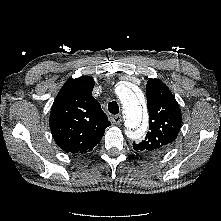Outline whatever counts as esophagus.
<instances>
[{
    "label": "esophagus",
    "instance_id": "34e87169",
    "mask_svg": "<svg viewBox=\"0 0 221 221\" xmlns=\"http://www.w3.org/2000/svg\"><path fill=\"white\" fill-rule=\"evenodd\" d=\"M111 119L114 124H119L122 121V116L121 115H114Z\"/></svg>",
    "mask_w": 221,
    "mask_h": 221
}]
</instances>
